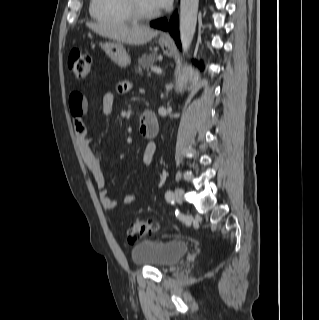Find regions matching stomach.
Wrapping results in <instances>:
<instances>
[{"instance_id":"stomach-1","label":"stomach","mask_w":319,"mask_h":320,"mask_svg":"<svg viewBox=\"0 0 319 320\" xmlns=\"http://www.w3.org/2000/svg\"><path fill=\"white\" fill-rule=\"evenodd\" d=\"M159 44L163 49V53L167 56L173 54L172 42L164 37L159 38ZM101 48L105 51L106 55L119 67L125 68L131 63L130 56L126 52L121 42L109 41L101 43Z\"/></svg>"}]
</instances>
